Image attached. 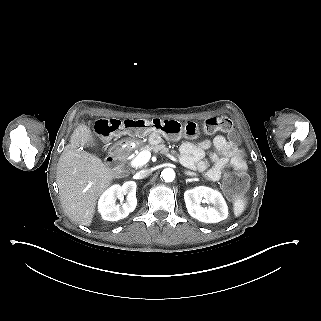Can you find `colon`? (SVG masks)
I'll return each mask as SVG.
<instances>
[{
	"label": "colon",
	"instance_id": "5ec220e1",
	"mask_svg": "<svg viewBox=\"0 0 321 321\" xmlns=\"http://www.w3.org/2000/svg\"><path fill=\"white\" fill-rule=\"evenodd\" d=\"M95 133L100 137H111L119 134H136L140 135L151 131L164 132L170 136L185 135L188 137H198L201 134L213 135L219 132L226 133L230 136L231 142L237 147L238 137L233 131L232 122L225 116H213L208 118L202 126L195 122L189 121L180 123L176 120L162 119H104L95 123ZM233 158L235 162L231 164V170L225 173L222 187L227 196L235 198L239 196L248 186L249 177L239 165L244 161L243 153L238 149L235 151Z\"/></svg>",
	"mask_w": 321,
	"mask_h": 321
}]
</instances>
